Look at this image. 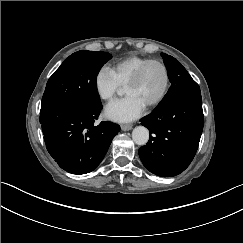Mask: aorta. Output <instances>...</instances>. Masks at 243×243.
<instances>
[{
	"mask_svg": "<svg viewBox=\"0 0 243 243\" xmlns=\"http://www.w3.org/2000/svg\"><path fill=\"white\" fill-rule=\"evenodd\" d=\"M117 95L122 96L121 92ZM132 140L138 146H144L149 140V131L145 127H136L132 132Z\"/></svg>",
	"mask_w": 243,
	"mask_h": 243,
	"instance_id": "1",
	"label": "aorta"
}]
</instances>
